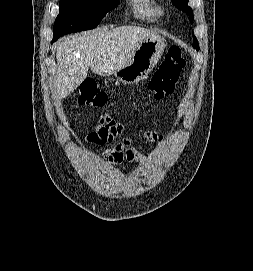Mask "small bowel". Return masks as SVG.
<instances>
[{
    "mask_svg": "<svg viewBox=\"0 0 253 271\" xmlns=\"http://www.w3.org/2000/svg\"><path fill=\"white\" fill-rule=\"evenodd\" d=\"M117 135H121L122 139L104 153L106 164H120L124 160L143 163L146 160V156L133 146V137L126 130L124 124L109 115H104L97 119L96 124L92 127L86 139L89 142L102 145L111 142ZM144 138L160 146L165 143V136L155 130L144 132Z\"/></svg>",
    "mask_w": 253,
    "mask_h": 271,
    "instance_id": "small-bowel-1",
    "label": "small bowel"
}]
</instances>
